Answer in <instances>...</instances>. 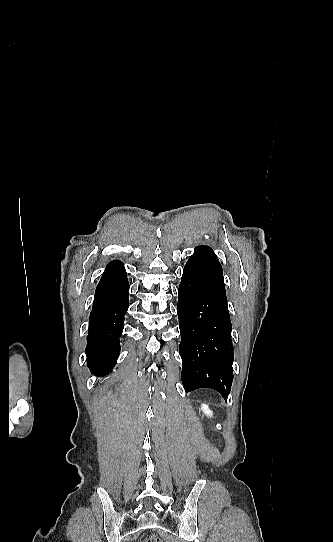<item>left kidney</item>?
<instances>
[{"label":"left kidney","mask_w":333,"mask_h":542,"mask_svg":"<svg viewBox=\"0 0 333 542\" xmlns=\"http://www.w3.org/2000/svg\"><path fill=\"white\" fill-rule=\"evenodd\" d=\"M202 412H204V414H206V416H213V412H211V410H209V406H207V404H202V408H201Z\"/></svg>","instance_id":"obj_1"}]
</instances>
